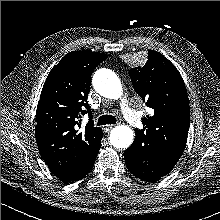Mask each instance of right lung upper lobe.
Instances as JSON below:
<instances>
[{
  "label": "right lung upper lobe",
  "mask_w": 220,
  "mask_h": 220,
  "mask_svg": "<svg viewBox=\"0 0 220 220\" xmlns=\"http://www.w3.org/2000/svg\"><path fill=\"white\" fill-rule=\"evenodd\" d=\"M107 57L89 50L70 52L44 83L36 111V141L49 169L64 182L80 176L102 137L101 128L94 127L91 120L87 98L91 74ZM86 112L90 119L79 132V119Z\"/></svg>",
  "instance_id": "obj_1"
}]
</instances>
